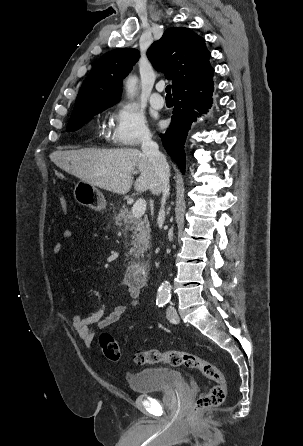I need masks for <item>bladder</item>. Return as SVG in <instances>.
<instances>
[{
  "mask_svg": "<svg viewBox=\"0 0 303 446\" xmlns=\"http://www.w3.org/2000/svg\"><path fill=\"white\" fill-rule=\"evenodd\" d=\"M129 388L135 393H151L185 387L186 382L177 370L168 368H146L127 375Z\"/></svg>",
  "mask_w": 303,
  "mask_h": 446,
  "instance_id": "obj_1",
  "label": "bladder"
}]
</instances>
